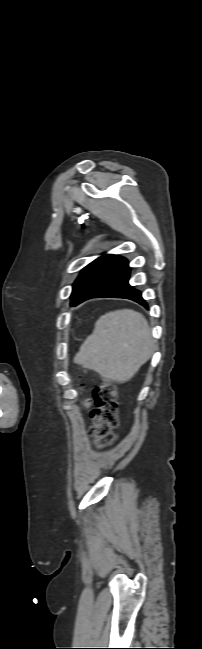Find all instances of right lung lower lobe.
Returning a JSON list of instances; mask_svg holds the SVG:
<instances>
[{"label": "right lung lower lobe", "instance_id": "1", "mask_svg": "<svg viewBox=\"0 0 202 649\" xmlns=\"http://www.w3.org/2000/svg\"><path fill=\"white\" fill-rule=\"evenodd\" d=\"M130 270L127 259L117 256L90 281L78 304L92 297H115L130 299L148 308L141 292L129 285Z\"/></svg>", "mask_w": 202, "mask_h": 649}]
</instances>
